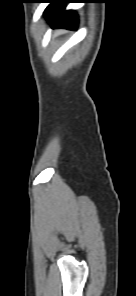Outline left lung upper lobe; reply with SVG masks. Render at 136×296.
<instances>
[{
    "label": "left lung upper lobe",
    "instance_id": "1",
    "mask_svg": "<svg viewBox=\"0 0 136 296\" xmlns=\"http://www.w3.org/2000/svg\"><path fill=\"white\" fill-rule=\"evenodd\" d=\"M51 4L46 8V10H45V12L48 14L49 12H50V10L52 9V7H53V2H54V0H50L49 1Z\"/></svg>",
    "mask_w": 136,
    "mask_h": 296
}]
</instances>
